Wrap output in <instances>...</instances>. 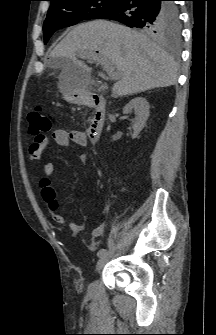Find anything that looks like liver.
I'll return each mask as SVG.
<instances>
[{"mask_svg": "<svg viewBox=\"0 0 216 335\" xmlns=\"http://www.w3.org/2000/svg\"><path fill=\"white\" fill-rule=\"evenodd\" d=\"M96 51L118 70V81L112 87L115 97L168 87L177 81V65L164 49L136 30L104 20L73 28L51 51L50 58L53 67H63L59 78L64 77L72 88H80L87 83L91 68L78 57Z\"/></svg>", "mask_w": 216, "mask_h": 335, "instance_id": "6515ba94", "label": "liver"}]
</instances>
